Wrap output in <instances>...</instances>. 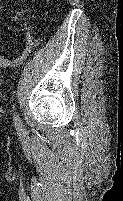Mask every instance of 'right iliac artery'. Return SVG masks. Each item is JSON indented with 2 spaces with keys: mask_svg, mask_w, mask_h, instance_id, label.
<instances>
[{
  "mask_svg": "<svg viewBox=\"0 0 123 201\" xmlns=\"http://www.w3.org/2000/svg\"><path fill=\"white\" fill-rule=\"evenodd\" d=\"M14 124L18 131L22 130L23 124H22V121H21L19 115H17V114H14Z\"/></svg>",
  "mask_w": 123,
  "mask_h": 201,
  "instance_id": "right-iliac-artery-1",
  "label": "right iliac artery"
}]
</instances>
